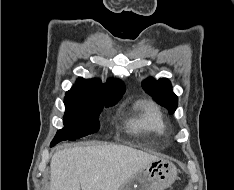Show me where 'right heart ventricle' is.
<instances>
[{
    "label": "right heart ventricle",
    "mask_w": 234,
    "mask_h": 190,
    "mask_svg": "<svg viewBox=\"0 0 234 190\" xmlns=\"http://www.w3.org/2000/svg\"><path fill=\"white\" fill-rule=\"evenodd\" d=\"M135 116L129 121V127L135 132L164 134L166 125L159 109L149 101H138L134 105Z\"/></svg>",
    "instance_id": "e07e8e85"
}]
</instances>
